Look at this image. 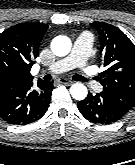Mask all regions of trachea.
Wrapping results in <instances>:
<instances>
[{
  "instance_id": "3493384b",
  "label": "trachea",
  "mask_w": 135,
  "mask_h": 165,
  "mask_svg": "<svg viewBox=\"0 0 135 165\" xmlns=\"http://www.w3.org/2000/svg\"><path fill=\"white\" fill-rule=\"evenodd\" d=\"M44 79H45V80H50V79H51V75L47 74V75L44 77ZM73 79H74V80H77V81H85V79H84L82 76L77 75V74L73 76Z\"/></svg>"
}]
</instances>
